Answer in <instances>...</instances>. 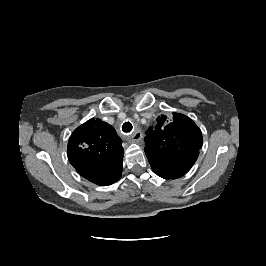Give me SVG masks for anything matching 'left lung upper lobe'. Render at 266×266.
<instances>
[{
	"label": "left lung upper lobe",
	"instance_id": "obj_1",
	"mask_svg": "<svg viewBox=\"0 0 266 266\" xmlns=\"http://www.w3.org/2000/svg\"><path fill=\"white\" fill-rule=\"evenodd\" d=\"M146 134V156L152 170L164 179L185 175L202 147L201 130L180 113H173V119L159 116L155 128H149Z\"/></svg>",
	"mask_w": 266,
	"mask_h": 266
}]
</instances>
